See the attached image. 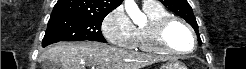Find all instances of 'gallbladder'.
I'll list each match as a JSON object with an SVG mask.
<instances>
[{"instance_id":"obj_1","label":"gallbladder","mask_w":246,"mask_h":69,"mask_svg":"<svg viewBox=\"0 0 246 69\" xmlns=\"http://www.w3.org/2000/svg\"><path fill=\"white\" fill-rule=\"evenodd\" d=\"M42 69H60L59 65H54L50 63L49 61H45L42 64Z\"/></svg>"}]
</instances>
